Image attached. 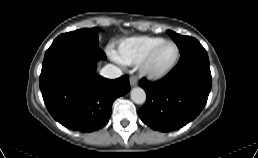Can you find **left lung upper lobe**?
Masks as SVG:
<instances>
[{"instance_id": "1", "label": "left lung upper lobe", "mask_w": 258, "mask_h": 158, "mask_svg": "<svg viewBox=\"0 0 258 158\" xmlns=\"http://www.w3.org/2000/svg\"><path fill=\"white\" fill-rule=\"evenodd\" d=\"M167 33L174 40V42L177 44V46L180 50V53L184 52L192 44L198 42L195 38L188 37V36H182V35H179V34L173 32V31L168 30Z\"/></svg>"}]
</instances>
